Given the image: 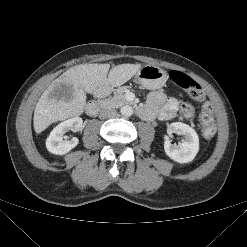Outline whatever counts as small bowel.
Listing matches in <instances>:
<instances>
[{
  "mask_svg": "<svg viewBox=\"0 0 247 247\" xmlns=\"http://www.w3.org/2000/svg\"><path fill=\"white\" fill-rule=\"evenodd\" d=\"M178 106L179 102L176 98L167 97L161 91H154L148 97L143 118L152 119L157 116L163 120L171 119L176 116Z\"/></svg>",
  "mask_w": 247,
  "mask_h": 247,
  "instance_id": "obj_1",
  "label": "small bowel"
}]
</instances>
